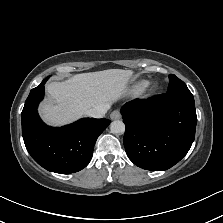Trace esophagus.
Returning a JSON list of instances; mask_svg holds the SVG:
<instances>
[{
    "label": "esophagus",
    "instance_id": "obj_1",
    "mask_svg": "<svg viewBox=\"0 0 223 223\" xmlns=\"http://www.w3.org/2000/svg\"><path fill=\"white\" fill-rule=\"evenodd\" d=\"M110 118L112 120H118L121 118V114H120V111L119 110H114L111 115H110Z\"/></svg>",
    "mask_w": 223,
    "mask_h": 223
}]
</instances>
